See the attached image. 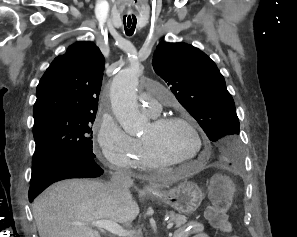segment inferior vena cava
Masks as SVG:
<instances>
[{
	"label": "inferior vena cava",
	"instance_id": "inferior-vena-cava-1",
	"mask_svg": "<svg viewBox=\"0 0 297 237\" xmlns=\"http://www.w3.org/2000/svg\"><path fill=\"white\" fill-rule=\"evenodd\" d=\"M110 185L117 197L125 198L130 195L129 188L133 185V180L128 173L118 171L113 174Z\"/></svg>",
	"mask_w": 297,
	"mask_h": 237
}]
</instances>
